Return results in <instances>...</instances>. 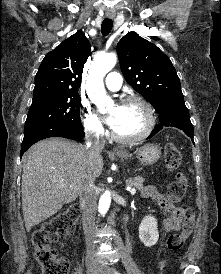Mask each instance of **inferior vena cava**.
<instances>
[{"mask_svg":"<svg viewBox=\"0 0 221 274\" xmlns=\"http://www.w3.org/2000/svg\"><path fill=\"white\" fill-rule=\"evenodd\" d=\"M103 148L104 141H101L99 136H96L94 139L88 136L86 149L90 158L99 156ZM94 181L95 179L90 177L79 193L80 205L83 210L82 224L86 236L87 256L89 257L94 254L95 250V244L91 236L92 231L95 229V215L97 210V195Z\"/></svg>","mask_w":221,"mask_h":274,"instance_id":"1","label":"inferior vena cava"}]
</instances>
